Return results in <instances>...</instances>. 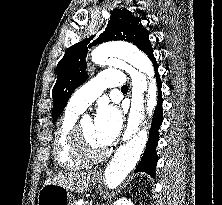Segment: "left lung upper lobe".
I'll return each mask as SVG.
<instances>
[{"mask_svg": "<svg viewBox=\"0 0 222 205\" xmlns=\"http://www.w3.org/2000/svg\"><path fill=\"white\" fill-rule=\"evenodd\" d=\"M148 36L147 30L140 23V17L133 16L126 9H114L107 28L99 32L95 39V36H91L71 46L57 65V81L52 91L53 122L65 108L74 90L88 78L85 61L88 48L112 40L128 41L140 48Z\"/></svg>", "mask_w": 222, "mask_h": 205, "instance_id": "5c2ea615", "label": "left lung upper lobe"}]
</instances>
